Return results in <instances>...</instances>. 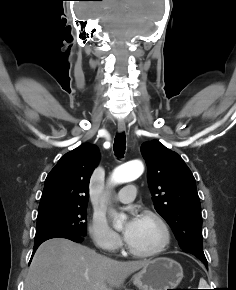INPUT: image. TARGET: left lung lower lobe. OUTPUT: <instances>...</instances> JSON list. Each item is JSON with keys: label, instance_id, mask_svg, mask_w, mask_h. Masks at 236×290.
<instances>
[{"label": "left lung lower lobe", "instance_id": "obj_1", "mask_svg": "<svg viewBox=\"0 0 236 290\" xmlns=\"http://www.w3.org/2000/svg\"><path fill=\"white\" fill-rule=\"evenodd\" d=\"M202 261V260H201ZM204 264H205V266H206V268H208V265H207V261H202Z\"/></svg>", "mask_w": 236, "mask_h": 290}]
</instances>
